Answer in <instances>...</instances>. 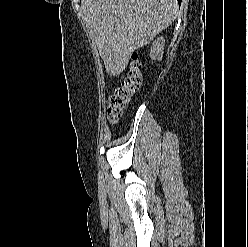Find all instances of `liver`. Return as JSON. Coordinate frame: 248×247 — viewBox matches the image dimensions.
Here are the masks:
<instances>
[{"instance_id": "6515ba94", "label": "liver", "mask_w": 248, "mask_h": 247, "mask_svg": "<svg viewBox=\"0 0 248 247\" xmlns=\"http://www.w3.org/2000/svg\"><path fill=\"white\" fill-rule=\"evenodd\" d=\"M81 9L107 73L117 76L133 51L172 24L178 5L176 0H81Z\"/></svg>"}]
</instances>
